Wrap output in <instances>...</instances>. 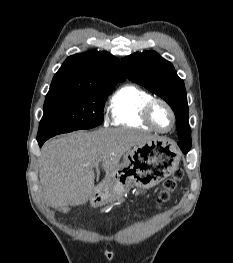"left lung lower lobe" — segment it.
Returning a JSON list of instances; mask_svg holds the SVG:
<instances>
[{"mask_svg": "<svg viewBox=\"0 0 233 263\" xmlns=\"http://www.w3.org/2000/svg\"><path fill=\"white\" fill-rule=\"evenodd\" d=\"M178 145L184 154H187L191 148V145L184 139H179Z\"/></svg>", "mask_w": 233, "mask_h": 263, "instance_id": "obj_1", "label": "left lung lower lobe"}]
</instances>
